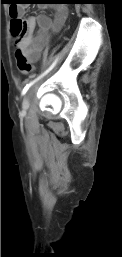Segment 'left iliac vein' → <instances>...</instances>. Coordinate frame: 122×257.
<instances>
[{
  "label": "left iliac vein",
  "mask_w": 122,
  "mask_h": 257,
  "mask_svg": "<svg viewBox=\"0 0 122 257\" xmlns=\"http://www.w3.org/2000/svg\"><path fill=\"white\" fill-rule=\"evenodd\" d=\"M29 97L28 95H26L24 98H23V101H22V109H23V112H26L29 108Z\"/></svg>",
  "instance_id": "obj_1"
}]
</instances>
